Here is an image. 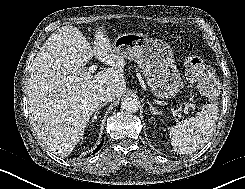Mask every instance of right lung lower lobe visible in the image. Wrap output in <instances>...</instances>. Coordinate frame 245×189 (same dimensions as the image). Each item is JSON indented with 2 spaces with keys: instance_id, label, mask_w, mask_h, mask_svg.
Here are the masks:
<instances>
[{
  "instance_id": "1",
  "label": "right lung lower lobe",
  "mask_w": 245,
  "mask_h": 189,
  "mask_svg": "<svg viewBox=\"0 0 245 189\" xmlns=\"http://www.w3.org/2000/svg\"><path fill=\"white\" fill-rule=\"evenodd\" d=\"M103 142H104V140L101 141V143L98 145V147L96 148V150L92 154H95L98 150L101 149Z\"/></svg>"
}]
</instances>
